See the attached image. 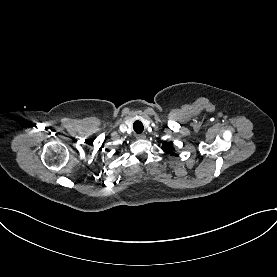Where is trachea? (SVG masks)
Masks as SVG:
<instances>
[{
	"label": "trachea",
	"instance_id": "trachea-1",
	"mask_svg": "<svg viewBox=\"0 0 277 277\" xmlns=\"http://www.w3.org/2000/svg\"><path fill=\"white\" fill-rule=\"evenodd\" d=\"M133 129L137 134H140V133L143 132L144 126H143L142 122L135 121L134 124H133Z\"/></svg>",
	"mask_w": 277,
	"mask_h": 277
}]
</instances>
